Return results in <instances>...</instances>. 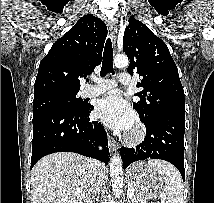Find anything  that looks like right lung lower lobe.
Masks as SVG:
<instances>
[{
  "instance_id": "98d812e1",
  "label": "right lung lower lobe",
  "mask_w": 214,
  "mask_h": 203,
  "mask_svg": "<svg viewBox=\"0 0 214 203\" xmlns=\"http://www.w3.org/2000/svg\"><path fill=\"white\" fill-rule=\"evenodd\" d=\"M92 109L88 105L85 110H51L34 116L31 168L43 156L55 152L79 153L107 164V134L101 123L90 121Z\"/></svg>"
}]
</instances>
